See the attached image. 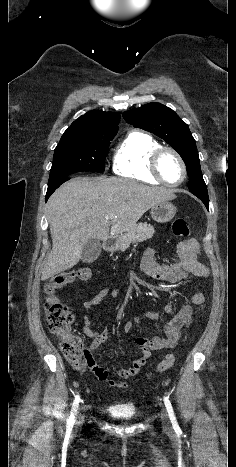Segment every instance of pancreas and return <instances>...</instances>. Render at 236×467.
I'll return each mask as SVG.
<instances>
[{
    "label": "pancreas",
    "instance_id": "obj_1",
    "mask_svg": "<svg viewBox=\"0 0 236 467\" xmlns=\"http://www.w3.org/2000/svg\"><path fill=\"white\" fill-rule=\"evenodd\" d=\"M155 233L154 227L147 223H140L133 226L125 234L116 239V247L121 251L127 249L131 243L142 242L151 239Z\"/></svg>",
    "mask_w": 236,
    "mask_h": 467
}]
</instances>
